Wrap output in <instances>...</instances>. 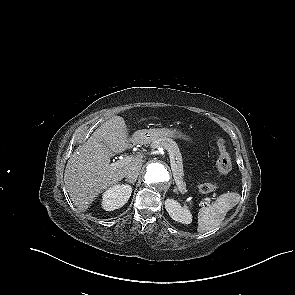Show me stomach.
Listing matches in <instances>:
<instances>
[{
    "instance_id": "1",
    "label": "stomach",
    "mask_w": 295,
    "mask_h": 295,
    "mask_svg": "<svg viewBox=\"0 0 295 295\" xmlns=\"http://www.w3.org/2000/svg\"><path fill=\"white\" fill-rule=\"evenodd\" d=\"M139 143L147 144L162 138H174L184 141H191L190 137L177 128L144 129L137 131L134 136Z\"/></svg>"
}]
</instances>
